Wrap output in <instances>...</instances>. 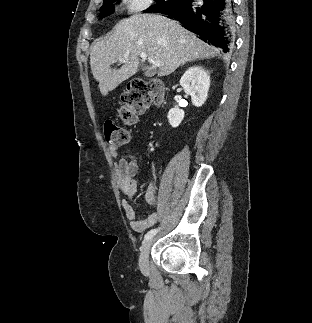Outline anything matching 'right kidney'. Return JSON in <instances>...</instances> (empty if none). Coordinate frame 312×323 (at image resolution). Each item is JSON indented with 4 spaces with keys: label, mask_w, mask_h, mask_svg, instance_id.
I'll return each mask as SVG.
<instances>
[{
    "label": "right kidney",
    "mask_w": 312,
    "mask_h": 323,
    "mask_svg": "<svg viewBox=\"0 0 312 323\" xmlns=\"http://www.w3.org/2000/svg\"><path fill=\"white\" fill-rule=\"evenodd\" d=\"M185 94L191 96L193 106H203L208 96L210 88V76H208L205 68L202 66H191L186 70L180 80ZM168 122L172 128H177L184 118L183 110L179 108H171L168 112Z\"/></svg>",
    "instance_id": "1"
}]
</instances>
